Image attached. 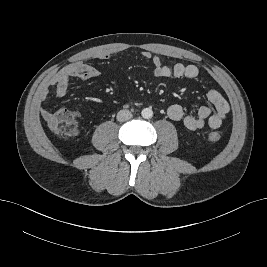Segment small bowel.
I'll return each instance as SVG.
<instances>
[{
    "label": "small bowel",
    "mask_w": 267,
    "mask_h": 267,
    "mask_svg": "<svg viewBox=\"0 0 267 267\" xmlns=\"http://www.w3.org/2000/svg\"><path fill=\"white\" fill-rule=\"evenodd\" d=\"M141 56L151 61L154 67V74L159 78H187L190 80H197L200 72L195 65H184L177 63L173 66L166 65L162 60L155 55H152L148 51L141 53ZM110 56L109 54H99L98 58L106 60ZM100 75V71L92 66H89L83 62H74L67 65L60 70L51 80L49 87L54 88V93L58 97L64 96L68 89L71 79L89 80L96 78ZM49 95V89L46 88L41 93V99H46ZM207 99L214 106L215 111L203 105L198 109L196 115H185L181 105L173 104L168 110V116L175 121L182 120L184 126L189 130H198L208 125L212 129H218L222 126L227 114L230 111V107L226 99L222 94L214 89L209 88L207 90ZM52 112L46 109H40L41 116L47 121Z\"/></svg>",
    "instance_id": "1"
}]
</instances>
